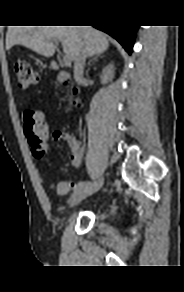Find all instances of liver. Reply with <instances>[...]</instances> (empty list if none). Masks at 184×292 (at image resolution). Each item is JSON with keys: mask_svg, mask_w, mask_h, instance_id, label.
<instances>
[{"mask_svg": "<svg viewBox=\"0 0 184 292\" xmlns=\"http://www.w3.org/2000/svg\"><path fill=\"white\" fill-rule=\"evenodd\" d=\"M53 41L62 43L70 61L75 60L82 49L91 57L109 46L107 36L91 26H11L6 35V49L20 44L51 57L55 52Z\"/></svg>", "mask_w": 184, "mask_h": 292, "instance_id": "1", "label": "liver"}]
</instances>
